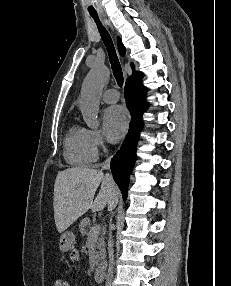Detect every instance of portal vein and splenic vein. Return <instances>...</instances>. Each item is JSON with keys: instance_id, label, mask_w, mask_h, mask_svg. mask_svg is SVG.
<instances>
[{"instance_id": "portal-vein-and-splenic-vein-1", "label": "portal vein and splenic vein", "mask_w": 231, "mask_h": 286, "mask_svg": "<svg viewBox=\"0 0 231 286\" xmlns=\"http://www.w3.org/2000/svg\"><path fill=\"white\" fill-rule=\"evenodd\" d=\"M96 227H99V225H96ZM96 227H93V228H92V232L95 231Z\"/></svg>"}]
</instances>
